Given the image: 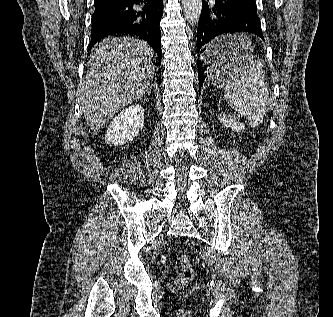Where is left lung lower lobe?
<instances>
[{"label":"left lung lower lobe","mask_w":333,"mask_h":317,"mask_svg":"<svg viewBox=\"0 0 333 317\" xmlns=\"http://www.w3.org/2000/svg\"><path fill=\"white\" fill-rule=\"evenodd\" d=\"M209 1V0H208ZM202 0V11L197 29V51L218 35L249 32L263 38L261 22L255 0ZM229 49L216 44L198 58L199 88L207 77V69L213 64L228 59Z\"/></svg>","instance_id":"0a47b994"}]
</instances>
